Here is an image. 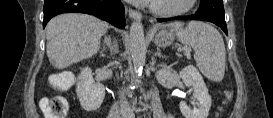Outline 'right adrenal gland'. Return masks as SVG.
<instances>
[{
	"instance_id": "obj_1",
	"label": "right adrenal gland",
	"mask_w": 273,
	"mask_h": 118,
	"mask_svg": "<svg viewBox=\"0 0 273 118\" xmlns=\"http://www.w3.org/2000/svg\"><path fill=\"white\" fill-rule=\"evenodd\" d=\"M103 46L101 49V54L104 56L103 52L105 51V49L108 47L110 50V56L114 55L117 52V42L115 39L112 40L110 35H106L104 37V42H103Z\"/></svg>"
}]
</instances>
